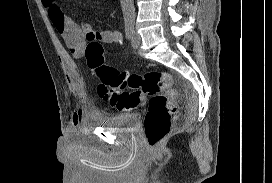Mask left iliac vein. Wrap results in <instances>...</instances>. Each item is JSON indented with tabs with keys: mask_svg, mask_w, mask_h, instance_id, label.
I'll use <instances>...</instances> for the list:
<instances>
[{
	"mask_svg": "<svg viewBox=\"0 0 272 183\" xmlns=\"http://www.w3.org/2000/svg\"><path fill=\"white\" fill-rule=\"evenodd\" d=\"M131 44L134 49H138L141 45V37L135 31L133 32V35H132Z\"/></svg>",
	"mask_w": 272,
	"mask_h": 183,
	"instance_id": "4c4485c4",
	"label": "left iliac vein"
}]
</instances>
